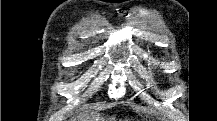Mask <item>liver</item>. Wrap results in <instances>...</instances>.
<instances>
[{
    "instance_id": "obj_1",
    "label": "liver",
    "mask_w": 217,
    "mask_h": 121,
    "mask_svg": "<svg viewBox=\"0 0 217 121\" xmlns=\"http://www.w3.org/2000/svg\"><path fill=\"white\" fill-rule=\"evenodd\" d=\"M92 119H97V118H92ZM91 121H98V120H91Z\"/></svg>"
}]
</instances>
